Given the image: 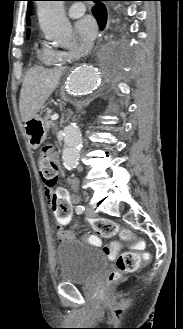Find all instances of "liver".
Returning a JSON list of instances; mask_svg holds the SVG:
<instances>
[{
    "mask_svg": "<svg viewBox=\"0 0 183 329\" xmlns=\"http://www.w3.org/2000/svg\"><path fill=\"white\" fill-rule=\"evenodd\" d=\"M61 74V69L49 70L40 66H34L27 71L19 100L23 122L31 119L42 108L57 87Z\"/></svg>",
    "mask_w": 183,
    "mask_h": 329,
    "instance_id": "6515ba94",
    "label": "liver"
}]
</instances>
